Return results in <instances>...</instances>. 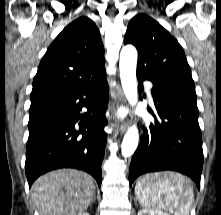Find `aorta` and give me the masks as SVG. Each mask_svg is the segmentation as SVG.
<instances>
[{"mask_svg": "<svg viewBox=\"0 0 221 215\" xmlns=\"http://www.w3.org/2000/svg\"><path fill=\"white\" fill-rule=\"evenodd\" d=\"M137 50L132 45H126L120 53V79L125 96L130 105H136L138 101L136 66ZM139 133L136 125L131 126L126 132L122 145L121 153L124 157L131 156L138 145Z\"/></svg>", "mask_w": 221, "mask_h": 215, "instance_id": "obj_1", "label": "aorta"}]
</instances>
